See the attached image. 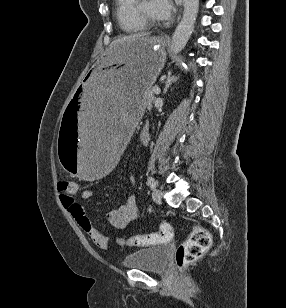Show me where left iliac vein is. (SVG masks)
I'll return each instance as SVG.
<instances>
[{"instance_id": "obj_1", "label": "left iliac vein", "mask_w": 286, "mask_h": 308, "mask_svg": "<svg viewBox=\"0 0 286 308\" xmlns=\"http://www.w3.org/2000/svg\"><path fill=\"white\" fill-rule=\"evenodd\" d=\"M152 199L156 203H160L162 200V191L159 189H153Z\"/></svg>"}]
</instances>
